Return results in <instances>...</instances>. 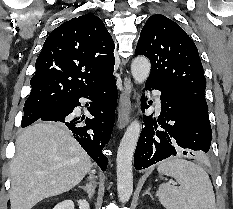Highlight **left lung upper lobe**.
Listing matches in <instances>:
<instances>
[{
  "instance_id": "1",
  "label": "left lung upper lobe",
  "mask_w": 233,
  "mask_h": 209,
  "mask_svg": "<svg viewBox=\"0 0 233 209\" xmlns=\"http://www.w3.org/2000/svg\"><path fill=\"white\" fill-rule=\"evenodd\" d=\"M136 55L149 58V78L208 108L204 95L206 80L197 47L177 23L161 14L150 16L141 31Z\"/></svg>"
}]
</instances>
